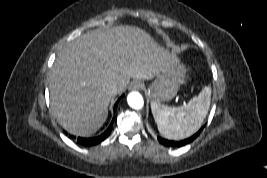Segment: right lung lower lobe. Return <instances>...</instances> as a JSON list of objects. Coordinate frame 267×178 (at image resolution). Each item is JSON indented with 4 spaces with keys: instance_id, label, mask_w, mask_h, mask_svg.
Masks as SVG:
<instances>
[{
    "instance_id": "1",
    "label": "right lung lower lobe",
    "mask_w": 267,
    "mask_h": 178,
    "mask_svg": "<svg viewBox=\"0 0 267 178\" xmlns=\"http://www.w3.org/2000/svg\"><path fill=\"white\" fill-rule=\"evenodd\" d=\"M118 102H116L115 106H114V111L116 110ZM112 126H113V121L111 122L110 126L108 127V129L101 134L98 137L95 138H78L77 141L78 143H80L81 145H85V146H92L95 144L100 143L101 141H103L104 139H106V137L110 134L111 130H112Z\"/></svg>"
}]
</instances>
